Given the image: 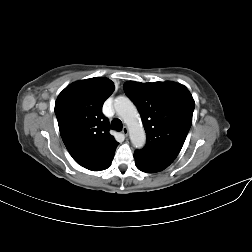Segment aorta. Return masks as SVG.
I'll use <instances>...</instances> for the list:
<instances>
[{
	"mask_svg": "<svg viewBox=\"0 0 252 252\" xmlns=\"http://www.w3.org/2000/svg\"><path fill=\"white\" fill-rule=\"evenodd\" d=\"M114 107L117 114L128 126L133 146L136 148L143 147L146 141L145 131L132 101L127 97L120 96L115 100Z\"/></svg>",
	"mask_w": 252,
	"mask_h": 252,
	"instance_id": "762f6f07",
	"label": "aorta"
}]
</instances>
